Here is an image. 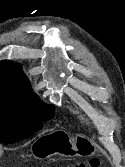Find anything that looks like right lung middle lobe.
I'll return each instance as SVG.
<instances>
[{"label": "right lung middle lobe", "instance_id": "1", "mask_svg": "<svg viewBox=\"0 0 125 167\" xmlns=\"http://www.w3.org/2000/svg\"><path fill=\"white\" fill-rule=\"evenodd\" d=\"M54 115V106L39 98L0 96V143L9 144L33 135Z\"/></svg>", "mask_w": 125, "mask_h": 167}]
</instances>
